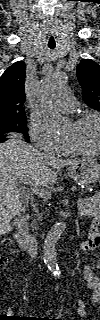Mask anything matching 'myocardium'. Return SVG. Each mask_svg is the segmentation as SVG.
<instances>
[{"label": "myocardium", "mask_w": 100, "mask_h": 320, "mask_svg": "<svg viewBox=\"0 0 100 320\" xmlns=\"http://www.w3.org/2000/svg\"><path fill=\"white\" fill-rule=\"evenodd\" d=\"M88 120L97 121L98 126H99V144L95 150L85 149L70 138H65V142L70 148H72L76 152L84 154V155H91L92 156V155H97L100 153V117H99V115L94 114V113H86V114L81 115L77 119H75L73 123L75 125H81L82 123H84Z\"/></svg>", "instance_id": "myocardium-1"}]
</instances>
